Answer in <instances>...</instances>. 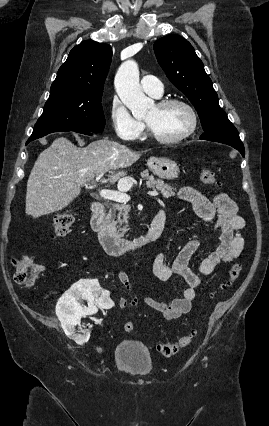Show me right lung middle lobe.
<instances>
[{"label":"right lung middle lobe","mask_w":269,"mask_h":426,"mask_svg":"<svg viewBox=\"0 0 269 426\" xmlns=\"http://www.w3.org/2000/svg\"><path fill=\"white\" fill-rule=\"evenodd\" d=\"M101 97L102 95L65 91L50 93L29 140L61 131L102 132L105 118Z\"/></svg>","instance_id":"dd1d6c3e"}]
</instances>
